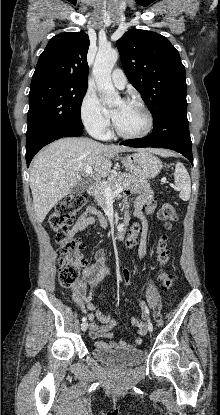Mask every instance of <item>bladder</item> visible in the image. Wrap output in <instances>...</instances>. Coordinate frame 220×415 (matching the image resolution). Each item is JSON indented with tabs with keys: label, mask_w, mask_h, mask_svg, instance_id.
I'll return each instance as SVG.
<instances>
[{
	"label": "bladder",
	"mask_w": 220,
	"mask_h": 415,
	"mask_svg": "<svg viewBox=\"0 0 220 415\" xmlns=\"http://www.w3.org/2000/svg\"><path fill=\"white\" fill-rule=\"evenodd\" d=\"M92 354L97 360L118 368L137 366L146 357V352L143 349L115 351L108 347H99L96 345L92 349Z\"/></svg>",
	"instance_id": "bladder-1"
}]
</instances>
